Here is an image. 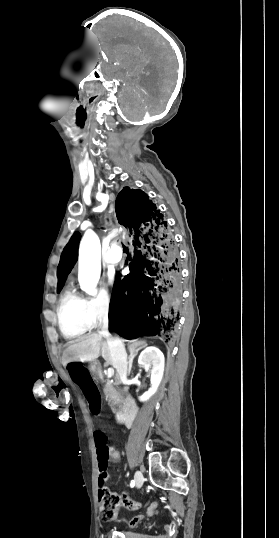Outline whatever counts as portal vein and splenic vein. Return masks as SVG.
Here are the masks:
<instances>
[{"mask_svg":"<svg viewBox=\"0 0 279 538\" xmlns=\"http://www.w3.org/2000/svg\"><path fill=\"white\" fill-rule=\"evenodd\" d=\"M113 374H114L113 368H108L107 378H111V376H113Z\"/></svg>","mask_w":279,"mask_h":538,"instance_id":"portal-vein-and-splenic-vein-1","label":"portal vein and splenic vein"}]
</instances>
